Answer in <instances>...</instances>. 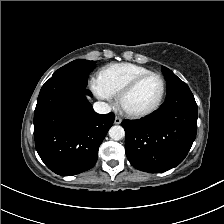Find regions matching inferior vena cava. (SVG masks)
Instances as JSON below:
<instances>
[{"label": "inferior vena cava", "instance_id": "obj_1", "mask_svg": "<svg viewBox=\"0 0 224 224\" xmlns=\"http://www.w3.org/2000/svg\"><path fill=\"white\" fill-rule=\"evenodd\" d=\"M93 108L99 114H107L111 111L110 105L101 101L94 103Z\"/></svg>", "mask_w": 224, "mask_h": 224}]
</instances>
